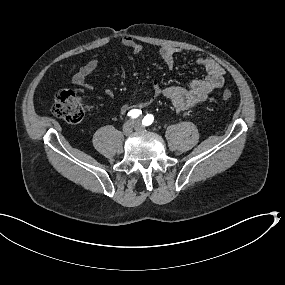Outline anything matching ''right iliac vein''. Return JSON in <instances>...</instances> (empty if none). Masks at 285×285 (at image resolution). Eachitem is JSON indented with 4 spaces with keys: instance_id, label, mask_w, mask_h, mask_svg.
I'll use <instances>...</instances> for the list:
<instances>
[{
    "instance_id": "obj_1",
    "label": "right iliac vein",
    "mask_w": 285,
    "mask_h": 285,
    "mask_svg": "<svg viewBox=\"0 0 285 285\" xmlns=\"http://www.w3.org/2000/svg\"><path fill=\"white\" fill-rule=\"evenodd\" d=\"M137 126L138 124L134 121H128L123 125L122 132L125 135H130L137 128Z\"/></svg>"
}]
</instances>
